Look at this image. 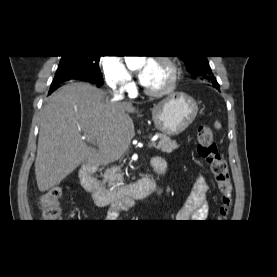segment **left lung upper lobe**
<instances>
[{
    "label": "left lung upper lobe",
    "instance_id": "1",
    "mask_svg": "<svg viewBox=\"0 0 277 277\" xmlns=\"http://www.w3.org/2000/svg\"><path fill=\"white\" fill-rule=\"evenodd\" d=\"M187 65L189 72L195 77L203 79L217 85L218 82L210 68L207 56H179Z\"/></svg>",
    "mask_w": 277,
    "mask_h": 277
}]
</instances>
